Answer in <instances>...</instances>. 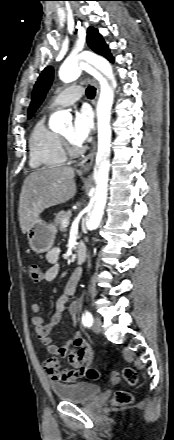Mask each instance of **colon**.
I'll use <instances>...</instances> for the list:
<instances>
[{
  "label": "colon",
  "instance_id": "5ec220e1",
  "mask_svg": "<svg viewBox=\"0 0 174 440\" xmlns=\"http://www.w3.org/2000/svg\"><path fill=\"white\" fill-rule=\"evenodd\" d=\"M27 272L30 279L34 282H40L43 278V270L39 264H28ZM83 374L90 380H96L99 377V373L90 367H86ZM123 377L130 385H135L138 382L137 372L130 367L123 369ZM108 380L111 383L116 384L119 380L118 374L115 372L110 373L108 375ZM113 401L116 406H127L133 402V395L126 390H118L114 395Z\"/></svg>",
  "mask_w": 174,
  "mask_h": 440
}]
</instances>
